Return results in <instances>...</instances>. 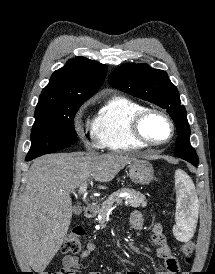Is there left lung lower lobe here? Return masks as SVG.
Segmentation results:
<instances>
[{
	"instance_id": "obj_1",
	"label": "left lung lower lobe",
	"mask_w": 215,
	"mask_h": 274,
	"mask_svg": "<svg viewBox=\"0 0 215 274\" xmlns=\"http://www.w3.org/2000/svg\"><path fill=\"white\" fill-rule=\"evenodd\" d=\"M188 162L194 165L195 167L198 166V162H192V161H188Z\"/></svg>"
}]
</instances>
